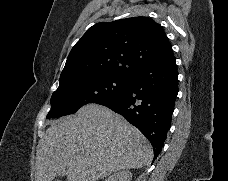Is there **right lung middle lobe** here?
Here are the masks:
<instances>
[{
  "label": "right lung middle lobe",
  "mask_w": 228,
  "mask_h": 181,
  "mask_svg": "<svg viewBox=\"0 0 228 181\" xmlns=\"http://www.w3.org/2000/svg\"><path fill=\"white\" fill-rule=\"evenodd\" d=\"M130 77L102 75L61 85L51 97L47 118L75 113L88 103L104 104L118 98L126 89Z\"/></svg>",
  "instance_id": "right-lung-middle-lobe-1"
}]
</instances>
